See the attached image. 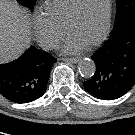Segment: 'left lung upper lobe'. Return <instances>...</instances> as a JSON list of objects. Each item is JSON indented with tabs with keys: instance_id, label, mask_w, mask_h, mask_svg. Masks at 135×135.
Segmentation results:
<instances>
[{
	"instance_id": "1",
	"label": "left lung upper lobe",
	"mask_w": 135,
	"mask_h": 135,
	"mask_svg": "<svg viewBox=\"0 0 135 135\" xmlns=\"http://www.w3.org/2000/svg\"><path fill=\"white\" fill-rule=\"evenodd\" d=\"M117 16L113 33L127 29L130 22L135 21V0H116Z\"/></svg>"
}]
</instances>
